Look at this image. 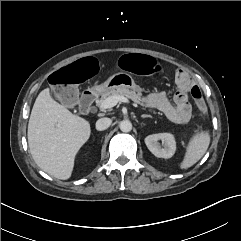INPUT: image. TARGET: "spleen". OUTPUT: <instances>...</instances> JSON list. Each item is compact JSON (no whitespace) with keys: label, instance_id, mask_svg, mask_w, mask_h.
<instances>
[{"label":"spleen","instance_id":"3e777b00","mask_svg":"<svg viewBox=\"0 0 241 241\" xmlns=\"http://www.w3.org/2000/svg\"><path fill=\"white\" fill-rule=\"evenodd\" d=\"M210 144L209 131L196 133L189 141L180 169H188L197 163L206 153Z\"/></svg>","mask_w":241,"mask_h":241}]
</instances>
